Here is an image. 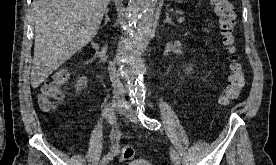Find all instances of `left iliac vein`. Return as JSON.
<instances>
[{
	"label": "left iliac vein",
	"instance_id": "4c4485c4",
	"mask_svg": "<svg viewBox=\"0 0 276 165\" xmlns=\"http://www.w3.org/2000/svg\"><path fill=\"white\" fill-rule=\"evenodd\" d=\"M118 111L120 114L126 116L131 122L140 124L136 111L130 108L127 104L122 105ZM173 163L174 165H180V163H177V162H173Z\"/></svg>",
	"mask_w": 276,
	"mask_h": 165
}]
</instances>
